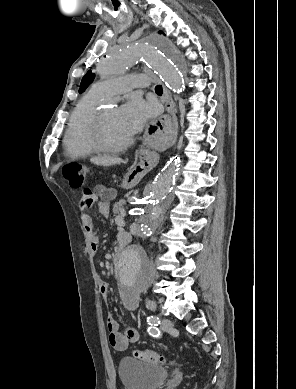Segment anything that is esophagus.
<instances>
[{
	"instance_id": "1",
	"label": "esophagus",
	"mask_w": 296,
	"mask_h": 389,
	"mask_svg": "<svg viewBox=\"0 0 296 389\" xmlns=\"http://www.w3.org/2000/svg\"><path fill=\"white\" fill-rule=\"evenodd\" d=\"M165 109L164 117L160 121L151 119L150 126H144L142 136L144 139H162L165 131H170L176 120V106L170 91L163 86ZM161 160V153L158 150H150L142 148L140 150L139 163L135 168L141 169H156L158 162Z\"/></svg>"
}]
</instances>
